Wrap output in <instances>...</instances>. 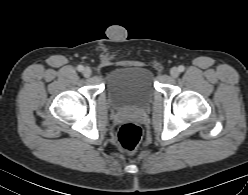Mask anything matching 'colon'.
<instances>
[{
    "instance_id": "obj_1",
    "label": "colon",
    "mask_w": 248,
    "mask_h": 195,
    "mask_svg": "<svg viewBox=\"0 0 248 195\" xmlns=\"http://www.w3.org/2000/svg\"><path fill=\"white\" fill-rule=\"evenodd\" d=\"M118 143L128 153H135L142 143L141 128L135 123H125L118 131Z\"/></svg>"
}]
</instances>
